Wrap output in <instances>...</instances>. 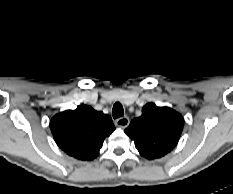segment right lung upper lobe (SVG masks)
Segmentation results:
<instances>
[{
  "label": "right lung upper lobe",
  "mask_w": 233,
  "mask_h": 194,
  "mask_svg": "<svg viewBox=\"0 0 233 194\" xmlns=\"http://www.w3.org/2000/svg\"><path fill=\"white\" fill-rule=\"evenodd\" d=\"M50 128L63 151L84 161L96 158L105 138L115 130L109 115L87 105L55 115Z\"/></svg>",
  "instance_id": "right-lung-upper-lobe-1"
}]
</instances>
